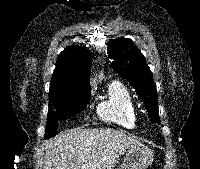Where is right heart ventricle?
<instances>
[{"mask_svg": "<svg viewBox=\"0 0 200 169\" xmlns=\"http://www.w3.org/2000/svg\"><path fill=\"white\" fill-rule=\"evenodd\" d=\"M97 114L103 121L125 129H135L138 126V113L133 96L119 80L108 84L106 97L98 105Z\"/></svg>", "mask_w": 200, "mask_h": 169, "instance_id": "right-heart-ventricle-1", "label": "right heart ventricle"}]
</instances>
